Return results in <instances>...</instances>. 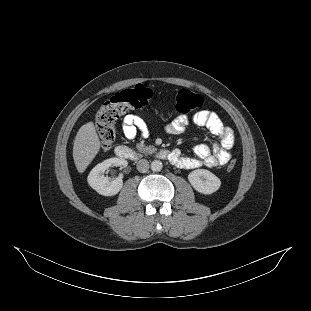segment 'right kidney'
<instances>
[{
    "instance_id": "right-kidney-1",
    "label": "right kidney",
    "mask_w": 311,
    "mask_h": 311,
    "mask_svg": "<svg viewBox=\"0 0 311 311\" xmlns=\"http://www.w3.org/2000/svg\"><path fill=\"white\" fill-rule=\"evenodd\" d=\"M128 162L122 158H110L97 164L89 173L88 184L99 194L104 196L116 195L123 187L122 176L109 180L104 176V172L111 166L127 167Z\"/></svg>"
}]
</instances>
